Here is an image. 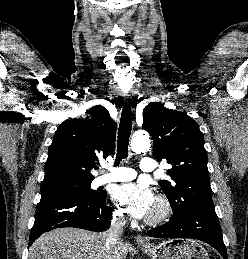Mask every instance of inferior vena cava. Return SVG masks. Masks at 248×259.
Instances as JSON below:
<instances>
[{"mask_svg": "<svg viewBox=\"0 0 248 259\" xmlns=\"http://www.w3.org/2000/svg\"><path fill=\"white\" fill-rule=\"evenodd\" d=\"M124 225V218L119 214H114L110 228L103 233L105 237V248L107 251L110 252L115 248L123 232Z\"/></svg>", "mask_w": 248, "mask_h": 259, "instance_id": "obj_1", "label": "inferior vena cava"}]
</instances>
